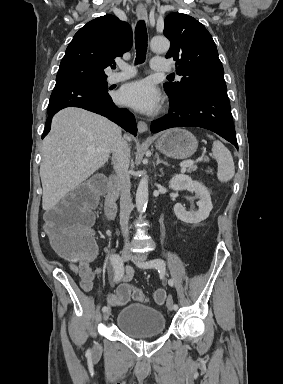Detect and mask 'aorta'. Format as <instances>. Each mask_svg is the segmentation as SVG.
I'll use <instances>...</instances> for the list:
<instances>
[{
	"instance_id": "aorta-1",
	"label": "aorta",
	"mask_w": 283,
	"mask_h": 384,
	"mask_svg": "<svg viewBox=\"0 0 283 384\" xmlns=\"http://www.w3.org/2000/svg\"><path fill=\"white\" fill-rule=\"evenodd\" d=\"M152 51L156 53H164L169 50L170 42L165 37H154L150 42ZM148 202V176L145 171L142 172V178L139 181L136 192V208L141 214L146 210Z\"/></svg>"
}]
</instances>
